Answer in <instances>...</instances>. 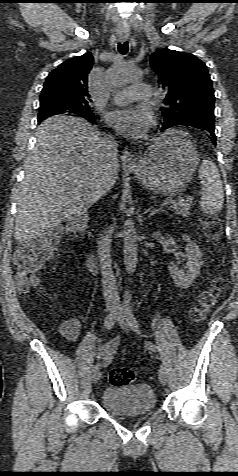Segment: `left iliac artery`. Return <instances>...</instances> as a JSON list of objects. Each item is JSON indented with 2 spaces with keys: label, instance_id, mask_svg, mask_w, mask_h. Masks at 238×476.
<instances>
[{
  "label": "left iliac artery",
  "instance_id": "obj_1",
  "mask_svg": "<svg viewBox=\"0 0 238 476\" xmlns=\"http://www.w3.org/2000/svg\"><path fill=\"white\" fill-rule=\"evenodd\" d=\"M125 315H126V320L128 322V325L131 327V329L136 332L138 335L141 334V330L139 328V324L136 320V318L134 317V314L132 312V309L130 306H126L125 307ZM145 347L151 351H158L159 350V347L156 346L154 343L150 342V341H147L145 343Z\"/></svg>",
  "mask_w": 238,
  "mask_h": 476
}]
</instances>
